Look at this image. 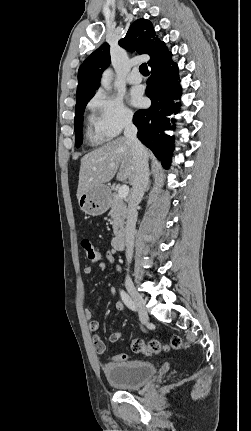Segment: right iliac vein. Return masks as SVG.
I'll use <instances>...</instances> for the list:
<instances>
[{
    "mask_svg": "<svg viewBox=\"0 0 251 431\" xmlns=\"http://www.w3.org/2000/svg\"><path fill=\"white\" fill-rule=\"evenodd\" d=\"M126 288L133 299V302L135 303L136 307L139 310V314L141 317V320L144 324H146L149 321L145 300L142 297V295L135 289L134 285L132 283H127Z\"/></svg>",
    "mask_w": 251,
    "mask_h": 431,
    "instance_id": "1",
    "label": "right iliac vein"
}]
</instances>
